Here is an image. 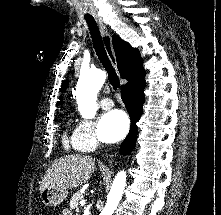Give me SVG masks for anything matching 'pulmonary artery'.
Wrapping results in <instances>:
<instances>
[{"label": "pulmonary artery", "instance_id": "e3ab8cb5", "mask_svg": "<svg viewBox=\"0 0 221 215\" xmlns=\"http://www.w3.org/2000/svg\"><path fill=\"white\" fill-rule=\"evenodd\" d=\"M100 106L105 110L110 109L113 106V101L110 98H103Z\"/></svg>", "mask_w": 221, "mask_h": 215}]
</instances>
